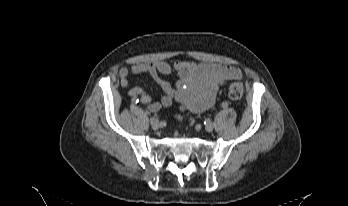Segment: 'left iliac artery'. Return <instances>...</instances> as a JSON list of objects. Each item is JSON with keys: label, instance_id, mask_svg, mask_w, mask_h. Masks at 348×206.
<instances>
[{"label": "left iliac artery", "instance_id": "44dca946", "mask_svg": "<svg viewBox=\"0 0 348 206\" xmlns=\"http://www.w3.org/2000/svg\"><path fill=\"white\" fill-rule=\"evenodd\" d=\"M231 106V103L229 101L222 102V107L224 110H227Z\"/></svg>", "mask_w": 348, "mask_h": 206}]
</instances>
